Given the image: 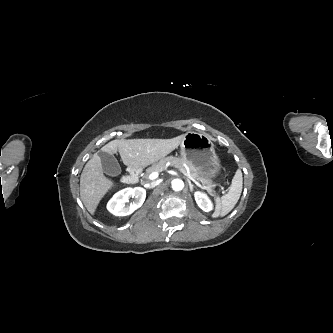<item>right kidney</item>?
<instances>
[{"mask_svg": "<svg viewBox=\"0 0 333 333\" xmlns=\"http://www.w3.org/2000/svg\"><path fill=\"white\" fill-rule=\"evenodd\" d=\"M131 197L134 198L133 203H131L130 206H126L125 203L128 202ZM145 198L146 190L144 188H125L114 194L107 204V209L116 216H127L141 207Z\"/></svg>", "mask_w": 333, "mask_h": 333, "instance_id": "ca27d5eb", "label": "right kidney"}]
</instances>
